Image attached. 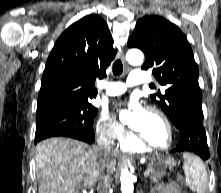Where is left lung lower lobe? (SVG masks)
<instances>
[{"mask_svg": "<svg viewBox=\"0 0 221 193\" xmlns=\"http://www.w3.org/2000/svg\"><path fill=\"white\" fill-rule=\"evenodd\" d=\"M184 121L185 125L179 129L181 139L174 151L194 153L203 160H208L210 152L207 145L205 128L203 126L202 104L190 106L188 116Z\"/></svg>", "mask_w": 221, "mask_h": 193, "instance_id": "0a47b994", "label": "left lung lower lobe"}]
</instances>
